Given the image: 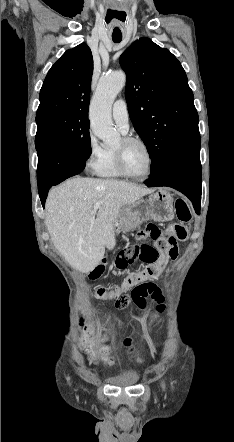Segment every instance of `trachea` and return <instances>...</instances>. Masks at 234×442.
<instances>
[{
    "label": "trachea",
    "mask_w": 234,
    "mask_h": 442,
    "mask_svg": "<svg viewBox=\"0 0 234 442\" xmlns=\"http://www.w3.org/2000/svg\"><path fill=\"white\" fill-rule=\"evenodd\" d=\"M112 40L114 43H119L122 40V37H113L112 36Z\"/></svg>",
    "instance_id": "obj_1"
}]
</instances>
